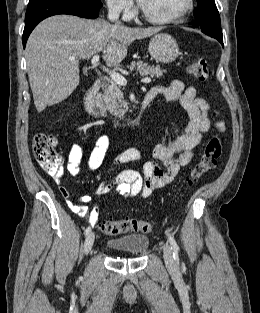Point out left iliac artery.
<instances>
[{
	"mask_svg": "<svg viewBox=\"0 0 260 313\" xmlns=\"http://www.w3.org/2000/svg\"><path fill=\"white\" fill-rule=\"evenodd\" d=\"M168 240L172 246V249H173V257L175 260H179V256H178V253H179V246L177 245L175 239L173 236L171 235H168Z\"/></svg>",
	"mask_w": 260,
	"mask_h": 313,
	"instance_id": "1",
	"label": "left iliac artery"
}]
</instances>
